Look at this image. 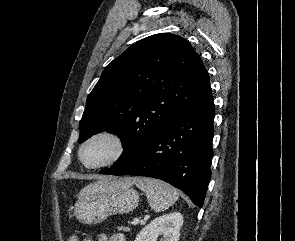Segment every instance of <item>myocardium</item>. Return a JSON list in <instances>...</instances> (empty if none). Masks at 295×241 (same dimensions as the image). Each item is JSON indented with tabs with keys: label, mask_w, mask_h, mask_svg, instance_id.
Wrapping results in <instances>:
<instances>
[{
	"label": "myocardium",
	"mask_w": 295,
	"mask_h": 241,
	"mask_svg": "<svg viewBox=\"0 0 295 241\" xmlns=\"http://www.w3.org/2000/svg\"><path fill=\"white\" fill-rule=\"evenodd\" d=\"M97 138H108L112 140L115 143L116 151L114 155L108 160L98 164L90 165L84 161L83 152L86 146ZM126 153H127V143L125 138L117 131H114L111 129H104V130H99L92 133L81 143L78 150V159L80 163L82 164V166H84L87 169H100V168L112 166L120 162L125 157Z\"/></svg>",
	"instance_id": "obj_1"
}]
</instances>
